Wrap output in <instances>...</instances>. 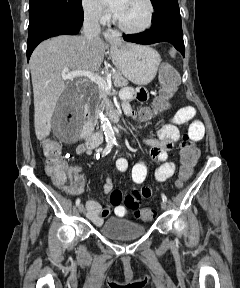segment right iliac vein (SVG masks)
<instances>
[{
	"label": "right iliac vein",
	"instance_id": "1",
	"mask_svg": "<svg viewBox=\"0 0 240 288\" xmlns=\"http://www.w3.org/2000/svg\"><path fill=\"white\" fill-rule=\"evenodd\" d=\"M78 211H79V213H83V212H84V206H83V204H80V205H79Z\"/></svg>",
	"mask_w": 240,
	"mask_h": 288
}]
</instances>
